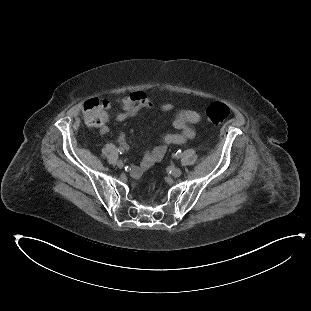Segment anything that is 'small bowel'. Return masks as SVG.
Returning <instances> with one entry per match:
<instances>
[{
  "instance_id": "c3829d8e",
  "label": "small bowel",
  "mask_w": 311,
  "mask_h": 311,
  "mask_svg": "<svg viewBox=\"0 0 311 311\" xmlns=\"http://www.w3.org/2000/svg\"><path fill=\"white\" fill-rule=\"evenodd\" d=\"M103 106L110 109L114 106H119L122 112L115 116V121L118 123L124 122L128 118L136 116L141 110L158 108L161 112L169 113L174 110V106L170 103H157L149 98L145 93L136 92L131 95L121 97L115 100H105ZM201 116L198 112L193 110H180L176 113L173 121L177 133L165 134L162 138V143L155 146L153 149L147 151L140 164L135 169V174L140 175L151 168L155 163L161 161L165 156L167 149L171 145L185 144L188 140L194 138L196 132L192 127L193 124L199 123ZM102 135L109 133V127L102 124L99 127ZM118 141L121 145H126L125 134L120 132Z\"/></svg>"
}]
</instances>
